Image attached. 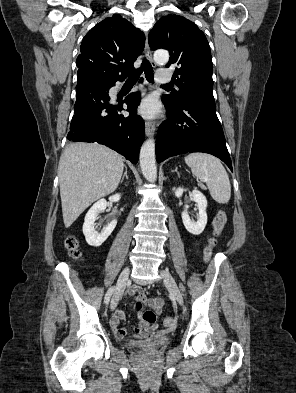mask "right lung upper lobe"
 Here are the masks:
<instances>
[{
  "label": "right lung upper lobe",
  "instance_id": "right-lung-upper-lobe-1",
  "mask_svg": "<svg viewBox=\"0 0 296 393\" xmlns=\"http://www.w3.org/2000/svg\"><path fill=\"white\" fill-rule=\"evenodd\" d=\"M144 44L143 32L114 14L95 25L83 38L76 61L78 72H89L113 84L134 70L133 63L141 55Z\"/></svg>",
  "mask_w": 296,
  "mask_h": 393
}]
</instances>
